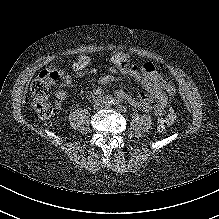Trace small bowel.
Returning <instances> with one entry per match:
<instances>
[{"label":"small bowel","mask_w":219,"mask_h":219,"mask_svg":"<svg viewBox=\"0 0 219 219\" xmlns=\"http://www.w3.org/2000/svg\"><path fill=\"white\" fill-rule=\"evenodd\" d=\"M112 67L109 68V73L98 78L100 85H108L118 80L117 74L127 77L138 83L145 90L144 93L133 97L123 89L116 90L115 94L128 101L133 107L149 112L153 111L155 115L160 116L168 107L170 100L175 95V89L172 84L165 81L157 72L155 66L151 63H146L141 67L129 62L128 55L120 50L114 51L111 54ZM89 63L88 57L81 56L73 64V69L76 75L80 76L86 72V67ZM76 85L74 79L66 73H63L60 85L55 93V105L61 108V102L68 96V88ZM96 96L104 94V90L96 88L94 90Z\"/></svg>","instance_id":"1"}]
</instances>
